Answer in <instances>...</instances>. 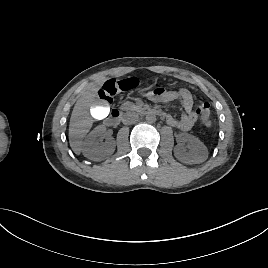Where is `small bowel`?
Masks as SVG:
<instances>
[{"label": "small bowel", "instance_id": "1", "mask_svg": "<svg viewBox=\"0 0 268 268\" xmlns=\"http://www.w3.org/2000/svg\"><path fill=\"white\" fill-rule=\"evenodd\" d=\"M145 96L153 102H171L177 100L182 106L184 113L179 119L171 115H165L166 122L179 130L189 131L198 119V114L193 110V96L185 88L164 91L158 88L148 92Z\"/></svg>", "mask_w": 268, "mask_h": 268}]
</instances>
